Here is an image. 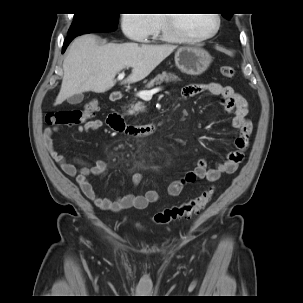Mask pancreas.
Returning <instances> with one entry per match:
<instances>
[{
  "mask_svg": "<svg viewBox=\"0 0 303 303\" xmlns=\"http://www.w3.org/2000/svg\"><path fill=\"white\" fill-rule=\"evenodd\" d=\"M172 82V81H180V78L175 75L174 73H166L163 72L162 74H158L155 78L151 79L147 85L145 86L146 89L152 88L154 85L161 84L162 82ZM145 109L142 105V102L137 101V98L131 101L128 105L127 115H136L139 112H143Z\"/></svg>",
  "mask_w": 303,
  "mask_h": 303,
  "instance_id": "obj_1",
  "label": "pancreas"
}]
</instances>
